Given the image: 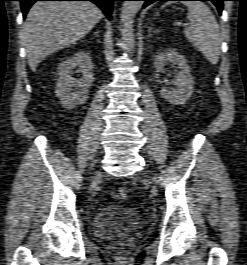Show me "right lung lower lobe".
<instances>
[{
  "mask_svg": "<svg viewBox=\"0 0 247 265\" xmlns=\"http://www.w3.org/2000/svg\"><path fill=\"white\" fill-rule=\"evenodd\" d=\"M19 1L21 2V9L24 17L26 16L32 4L35 3L36 1H91L95 3L110 20L112 14L113 2L119 0H19Z\"/></svg>",
  "mask_w": 247,
  "mask_h": 265,
  "instance_id": "obj_1",
  "label": "right lung lower lobe"
}]
</instances>
